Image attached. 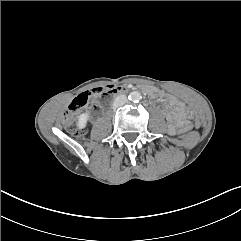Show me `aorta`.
I'll list each match as a JSON object with an SVG mask.
<instances>
[{"mask_svg": "<svg viewBox=\"0 0 241 241\" xmlns=\"http://www.w3.org/2000/svg\"><path fill=\"white\" fill-rule=\"evenodd\" d=\"M129 98L133 102H138L139 100H141L142 96L138 91H134L130 93Z\"/></svg>", "mask_w": 241, "mask_h": 241, "instance_id": "1", "label": "aorta"}]
</instances>
